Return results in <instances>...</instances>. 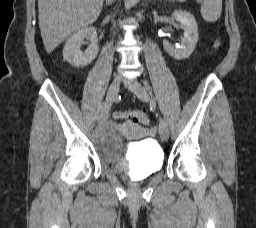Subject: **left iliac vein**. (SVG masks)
I'll return each mask as SVG.
<instances>
[{
	"instance_id": "4c4485c4",
	"label": "left iliac vein",
	"mask_w": 256,
	"mask_h": 228,
	"mask_svg": "<svg viewBox=\"0 0 256 228\" xmlns=\"http://www.w3.org/2000/svg\"><path fill=\"white\" fill-rule=\"evenodd\" d=\"M125 86L130 89L140 100L147 102L149 101V94L146 88L137 80H125ZM158 132L163 140H167L169 138V129L167 123L163 118L159 121Z\"/></svg>"
}]
</instances>
